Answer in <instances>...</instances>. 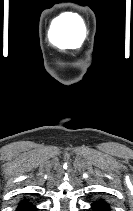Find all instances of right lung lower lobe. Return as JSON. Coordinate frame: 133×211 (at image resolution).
<instances>
[{"label": "right lung lower lobe", "mask_w": 133, "mask_h": 211, "mask_svg": "<svg viewBox=\"0 0 133 211\" xmlns=\"http://www.w3.org/2000/svg\"><path fill=\"white\" fill-rule=\"evenodd\" d=\"M16 211H37L36 207L30 202H22L18 205Z\"/></svg>", "instance_id": "98d812e1"}]
</instances>
